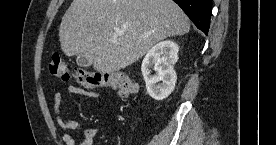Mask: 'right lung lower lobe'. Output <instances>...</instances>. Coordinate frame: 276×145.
I'll use <instances>...</instances> for the list:
<instances>
[{
  "label": "right lung lower lobe",
  "mask_w": 276,
  "mask_h": 145,
  "mask_svg": "<svg viewBox=\"0 0 276 145\" xmlns=\"http://www.w3.org/2000/svg\"><path fill=\"white\" fill-rule=\"evenodd\" d=\"M192 20L198 29L208 34L212 0H173Z\"/></svg>",
  "instance_id": "right-lung-lower-lobe-1"
}]
</instances>
